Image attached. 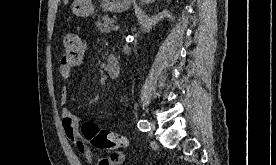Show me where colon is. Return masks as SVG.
<instances>
[{
    "mask_svg": "<svg viewBox=\"0 0 276 165\" xmlns=\"http://www.w3.org/2000/svg\"><path fill=\"white\" fill-rule=\"evenodd\" d=\"M64 53L62 56L61 64L74 67L79 65L84 57V44L81 38L73 33L67 34L63 40ZM83 136L97 149H112L114 153L121 152L128 141L126 137L99 128V126L88 121L82 125Z\"/></svg>",
    "mask_w": 276,
    "mask_h": 165,
    "instance_id": "1",
    "label": "colon"
}]
</instances>
